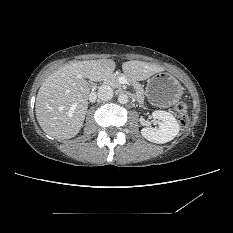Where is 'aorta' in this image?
Segmentation results:
<instances>
[{
  "mask_svg": "<svg viewBox=\"0 0 233 233\" xmlns=\"http://www.w3.org/2000/svg\"><path fill=\"white\" fill-rule=\"evenodd\" d=\"M118 102L121 104H126L128 102V96L126 94H120L118 96Z\"/></svg>",
  "mask_w": 233,
  "mask_h": 233,
  "instance_id": "obj_1",
  "label": "aorta"
}]
</instances>
